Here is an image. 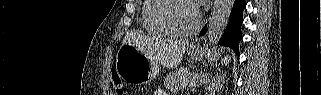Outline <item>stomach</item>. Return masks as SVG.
Listing matches in <instances>:
<instances>
[{
    "label": "stomach",
    "mask_w": 321,
    "mask_h": 95,
    "mask_svg": "<svg viewBox=\"0 0 321 95\" xmlns=\"http://www.w3.org/2000/svg\"><path fill=\"white\" fill-rule=\"evenodd\" d=\"M188 54L194 59H201L203 50L201 47H190ZM118 75L126 82L147 84L159 74V65L146 54L139 51L131 44H123L116 56Z\"/></svg>",
    "instance_id": "0dacf381"
}]
</instances>
